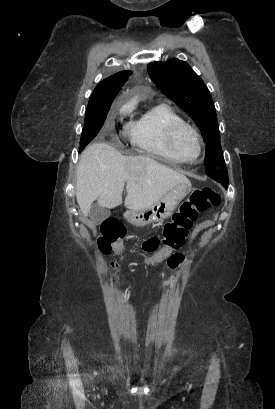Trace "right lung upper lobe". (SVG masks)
I'll return each instance as SVG.
<instances>
[{"label": "right lung upper lobe", "instance_id": "right-lung-upper-lobe-1", "mask_svg": "<svg viewBox=\"0 0 275 409\" xmlns=\"http://www.w3.org/2000/svg\"><path fill=\"white\" fill-rule=\"evenodd\" d=\"M130 73V71H121L101 81L90 96L88 108L111 106Z\"/></svg>", "mask_w": 275, "mask_h": 409}]
</instances>
